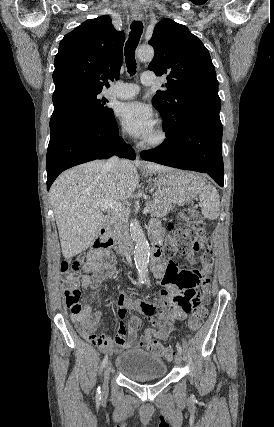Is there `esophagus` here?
<instances>
[{"instance_id":"1","label":"esophagus","mask_w":274,"mask_h":427,"mask_svg":"<svg viewBox=\"0 0 274 427\" xmlns=\"http://www.w3.org/2000/svg\"><path fill=\"white\" fill-rule=\"evenodd\" d=\"M133 18H134L135 20H140V19L142 18V15H133ZM136 163H137L138 165H143V162H142L141 160H139V158H137Z\"/></svg>"}]
</instances>
